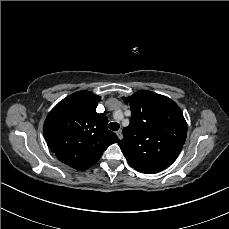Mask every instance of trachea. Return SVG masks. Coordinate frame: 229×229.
Segmentation results:
<instances>
[{
  "label": "trachea",
  "instance_id": "obj_1",
  "mask_svg": "<svg viewBox=\"0 0 229 229\" xmlns=\"http://www.w3.org/2000/svg\"><path fill=\"white\" fill-rule=\"evenodd\" d=\"M108 127L112 131H118V129L120 128V125L118 122H111L109 123Z\"/></svg>",
  "mask_w": 229,
  "mask_h": 229
}]
</instances>
